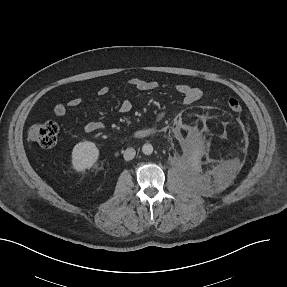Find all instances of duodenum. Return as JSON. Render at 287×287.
Instances as JSON below:
<instances>
[{
  "label": "duodenum",
  "mask_w": 287,
  "mask_h": 287,
  "mask_svg": "<svg viewBox=\"0 0 287 287\" xmlns=\"http://www.w3.org/2000/svg\"><path fill=\"white\" fill-rule=\"evenodd\" d=\"M150 135V131L149 130H140L138 132L135 133V137L136 138H145L147 136Z\"/></svg>",
  "instance_id": "1"
}]
</instances>
